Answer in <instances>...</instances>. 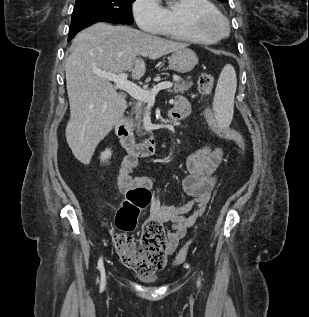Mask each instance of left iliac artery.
Segmentation results:
<instances>
[{"label":"left iliac artery","instance_id":"44dca946","mask_svg":"<svg viewBox=\"0 0 309 317\" xmlns=\"http://www.w3.org/2000/svg\"><path fill=\"white\" fill-rule=\"evenodd\" d=\"M198 285H200V280L198 281Z\"/></svg>","mask_w":309,"mask_h":317}]
</instances>
